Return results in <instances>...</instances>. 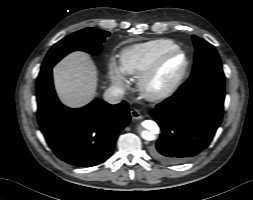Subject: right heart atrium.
<instances>
[{"label":"right heart atrium","instance_id":"1","mask_svg":"<svg viewBox=\"0 0 253 200\" xmlns=\"http://www.w3.org/2000/svg\"><path fill=\"white\" fill-rule=\"evenodd\" d=\"M107 75L110 82L116 89L120 91L126 90L127 81L124 77V73L122 72L120 67L112 60L109 61L107 66Z\"/></svg>","mask_w":253,"mask_h":200}]
</instances>
